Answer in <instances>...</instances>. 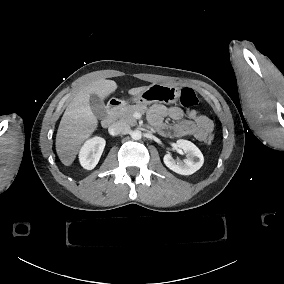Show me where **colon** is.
<instances>
[{
    "label": "colon",
    "mask_w": 284,
    "mask_h": 284,
    "mask_svg": "<svg viewBox=\"0 0 284 284\" xmlns=\"http://www.w3.org/2000/svg\"><path fill=\"white\" fill-rule=\"evenodd\" d=\"M181 97L185 106H195L197 104V97L192 94V90L190 88H183L181 90ZM213 140L214 137L210 135L206 138V143H212Z\"/></svg>",
    "instance_id": "5ec220e1"
}]
</instances>
